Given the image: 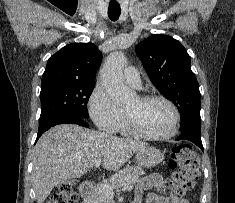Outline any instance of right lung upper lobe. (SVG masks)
Here are the masks:
<instances>
[{"instance_id": "right-lung-upper-lobe-1", "label": "right lung upper lobe", "mask_w": 235, "mask_h": 203, "mask_svg": "<svg viewBox=\"0 0 235 203\" xmlns=\"http://www.w3.org/2000/svg\"><path fill=\"white\" fill-rule=\"evenodd\" d=\"M102 54L93 43H73L52 55L41 86L59 82H95Z\"/></svg>"}]
</instances>
